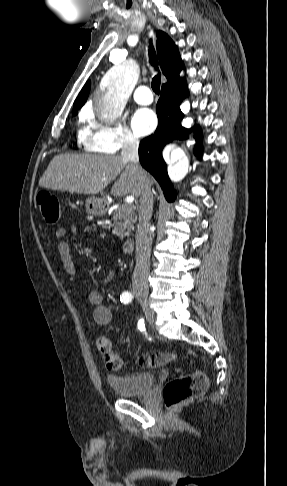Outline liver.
<instances>
[{
  "label": "liver",
  "instance_id": "6515ba94",
  "mask_svg": "<svg viewBox=\"0 0 287 486\" xmlns=\"http://www.w3.org/2000/svg\"><path fill=\"white\" fill-rule=\"evenodd\" d=\"M145 174L143 182L137 176L135 165L121 156L60 154L51 160L39 180V186L56 191L95 195L120 175L111 189V194L139 197L143 183L150 187L153 183L150 176L146 172Z\"/></svg>",
  "mask_w": 287,
  "mask_h": 486
}]
</instances>
